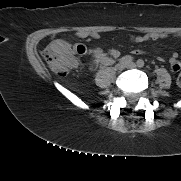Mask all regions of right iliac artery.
I'll use <instances>...</instances> for the list:
<instances>
[{"label": "right iliac artery", "mask_w": 181, "mask_h": 181, "mask_svg": "<svg viewBox=\"0 0 181 181\" xmlns=\"http://www.w3.org/2000/svg\"><path fill=\"white\" fill-rule=\"evenodd\" d=\"M133 61V57L130 55H126L120 59V62H123L125 64L131 63Z\"/></svg>", "instance_id": "right-iliac-artery-1"}]
</instances>
